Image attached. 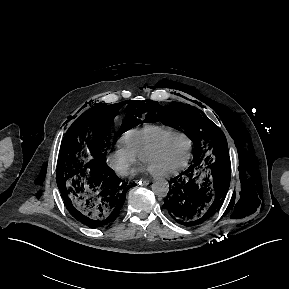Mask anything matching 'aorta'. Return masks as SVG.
Masks as SVG:
<instances>
[{"label": "aorta", "mask_w": 289, "mask_h": 289, "mask_svg": "<svg viewBox=\"0 0 289 289\" xmlns=\"http://www.w3.org/2000/svg\"><path fill=\"white\" fill-rule=\"evenodd\" d=\"M152 191L159 197H166L169 192V183L167 180H158L151 185Z\"/></svg>", "instance_id": "762f6f07"}]
</instances>
